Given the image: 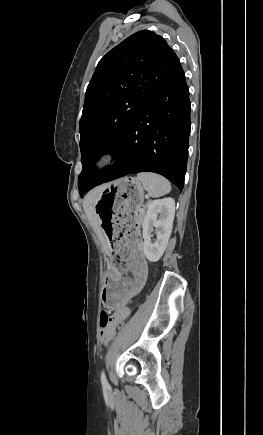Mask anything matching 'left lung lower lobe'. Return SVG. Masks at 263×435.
<instances>
[{
    "mask_svg": "<svg viewBox=\"0 0 263 435\" xmlns=\"http://www.w3.org/2000/svg\"><path fill=\"white\" fill-rule=\"evenodd\" d=\"M190 126L189 90L179 65L131 124L112 168L90 188L132 173L155 172L182 190Z\"/></svg>",
    "mask_w": 263,
    "mask_h": 435,
    "instance_id": "1",
    "label": "left lung lower lobe"
}]
</instances>
